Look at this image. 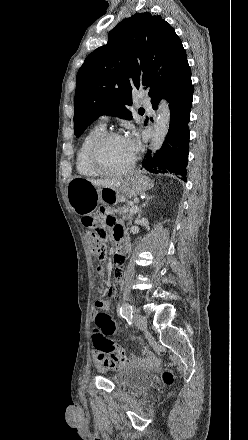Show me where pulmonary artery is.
<instances>
[{
  "instance_id": "e3ab8cb5",
  "label": "pulmonary artery",
  "mask_w": 248,
  "mask_h": 440,
  "mask_svg": "<svg viewBox=\"0 0 248 440\" xmlns=\"http://www.w3.org/2000/svg\"><path fill=\"white\" fill-rule=\"evenodd\" d=\"M144 102H145V104H147V105L149 104L148 101H147L146 99L144 100ZM107 119H108L107 116H105V115L101 116V117H100V124L103 125V126H105V124H106V122H107Z\"/></svg>"
}]
</instances>
